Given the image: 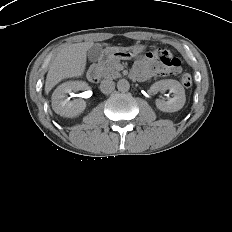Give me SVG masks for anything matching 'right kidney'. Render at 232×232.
Listing matches in <instances>:
<instances>
[{
  "label": "right kidney",
  "mask_w": 232,
  "mask_h": 232,
  "mask_svg": "<svg viewBox=\"0 0 232 232\" xmlns=\"http://www.w3.org/2000/svg\"><path fill=\"white\" fill-rule=\"evenodd\" d=\"M87 88L86 82L68 81L59 85L52 94L53 110L64 117H75L80 115L86 108V102L83 99L68 101L67 93L79 91Z\"/></svg>",
  "instance_id": "right-kidney-1"
}]
</instances>
